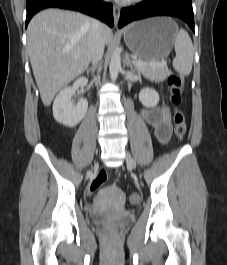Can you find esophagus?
<instances>
[{"mask_svg": "<svg viewBox=\"0 0 227 265\" xmlns=\"http://www.w3.org/2000/svg\"><path fill=\"white\" fill-rule=\"evenodd\" d=\"M113 15H114L115 26H117L119 18H120V8L116 5L113 6Z\"/></svg>", "mask_w": 227, "mask_h": 265, "instance_id": "34e87169", "label": "esophagus"}]
</instances>
